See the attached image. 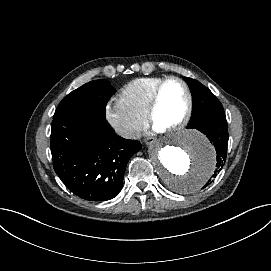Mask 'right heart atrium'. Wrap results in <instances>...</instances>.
Wrapping results in <instances>:
<instances>
[{
	"mask_svg": "<svg viewBox=\"0 0 271 271\" xmlns=\"http://www.w3.org/2000/svg\"><path fill=\"white\" fill-rule=\"evenodd\" d=\"M105 118L125 139H137L148 125L146 117L134 113L121 97H114L105 104Z\"/></svg>",
	"mask_w": 271,
	"mask_h": 271,
	"instance_id": "d8ad5b80",
	"label": "right heart atrium"
}]
</instances>
